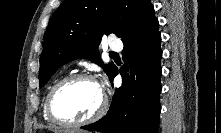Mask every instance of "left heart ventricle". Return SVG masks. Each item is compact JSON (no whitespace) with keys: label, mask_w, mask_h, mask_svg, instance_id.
<instances>
[{"label":"left heart ventricle","mask_w":221,"mask_h":133,"mask_svg":"<svg viewBox=\"0 0 221 133\" xmlns=\"http://www.w3.org/2000/svg\"><path fill=\"white\" fill-rule=\"evenodd\" d=\"M102 92L98 85L87 80L70 82L54 95L55 115L64 121H78L89 117L98 108Z\"/></svg>","instance_id":"left-heart-ventricle-1"}]
</instances>
